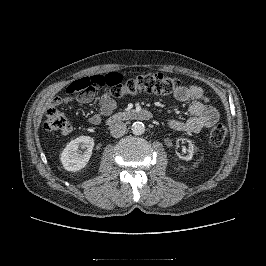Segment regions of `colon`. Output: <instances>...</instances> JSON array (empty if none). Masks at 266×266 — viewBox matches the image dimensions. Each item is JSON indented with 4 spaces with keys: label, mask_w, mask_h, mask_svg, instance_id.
Wrapping results in <instances>:
<instances>
[{
    "label": "colon",
    "mask_w": 266,
    "mask_h": 266,
    "mask_svg": "<svg viewBox=\"0 0 266 266\" xmlns=\"http://www.w3.org/2000/svg\"><path fill=\"white\" fill-rule=\"evenodd\" d=\"M104 86L109 88L110 95L122 98L140 92L170 95L180 88V82L175 77L159 72L140 74L125 80L121 74L111 72L105 75H91L76 79L68 85L67 93L80 95ZM44 126L49 132L67 133L70 131L66 115L56 107H50L46 111ZM226 137L225 125L218 123L211 128L209 141L213 146H221Z\"/></svg>",
    "instance_id": "5ec220e1"
}]
</instances>
